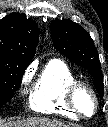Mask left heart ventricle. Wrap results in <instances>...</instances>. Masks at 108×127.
<instances>
[{
  "label": "left heart ventricle",
  "mask_w": 108,
  "mask_h": 127,
  "mask_svg": "<svg viewBox=\"0 0 108 127\" xmlns=\"http://www.w3.org/2000/svg\"><path fill=\"white\" fill-rule=\"evenodd\" d=\"M77 103L80 109L89 114L93 110V101L87 92H80L77 97Z\"/></svg>",
  "instance_id": "obj_1"
}]
</instances>
